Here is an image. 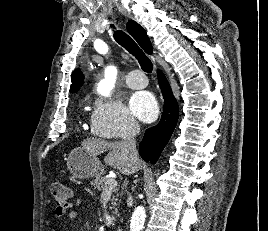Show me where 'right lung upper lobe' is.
Returning <instances> with one entry per match:
<instances>
[{
	"label": "right lung upper lobe",
	"instance_id": "right-lung-upper-lobe-1",
	"mask_svg": "<svg viewBox=\"0 0 268 231\" xmlns=\"http://www.w3.org/2000/svg\"><path fill=\"white\" fill-rule=\"evenodd\" d=\"M127 31L130 33L133 38L137 41V43L140 45V47L147 53L151 54L153 51V47L151 45V42L145 32V30L135 21L129 20L127 22ZM83 75L81 72H79V69H77L73 74L71 75V88L70 92H76L79 87L83 83Z\"/></svg>",
	"mask_w": 268,
	"mask_h": 231
}]
</instances>
